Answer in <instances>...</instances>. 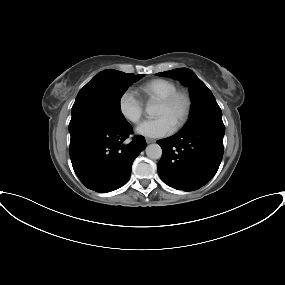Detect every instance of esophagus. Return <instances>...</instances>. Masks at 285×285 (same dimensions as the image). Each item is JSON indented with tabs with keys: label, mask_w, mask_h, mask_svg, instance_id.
<instances>
[{
	"label": "esophagus",
	"mask_w": 285,
	"mask_h": 285,
	"mask_svg": "<svg viewBox=\"0 0 285 285\" xmlns=\"http://www.w3.org/2000/svg\"><path fill=\"white\" fill-rule=\"evenodd\" d=\"M146 142H147L148 144H150V143H154L155 140H154V139H151V138H146Z\"/></svg>",
	"instance_id": "34e87169"
}]
</instances>
